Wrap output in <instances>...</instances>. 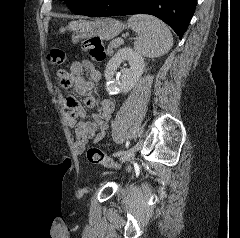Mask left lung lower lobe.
<instances>
[{"label":"left lung lower lobe","mask_w":240,"mask_h":238,"mask_svg":"<svg viewBox=\"0 0 240 238\" xmlns=\"http://www.w3.org/2000/svg\"><path fill=\"white\" fill-rule=\"evenodd\" d=\"M197 0H94L79 15L89 17L150 14L166 22L181 39Z\"/></svg>","instance_id":"obj_1"}]
</instances>
